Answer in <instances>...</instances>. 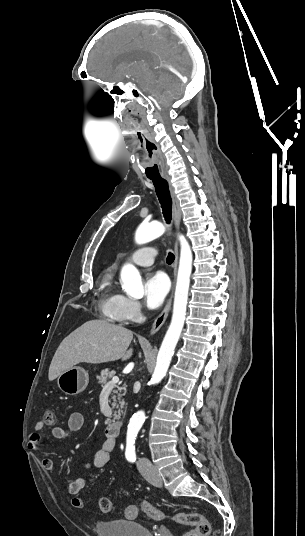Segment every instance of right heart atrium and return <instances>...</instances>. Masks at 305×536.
Masks as SVG:
<instances>
[{
  "label": "right heart atrium",
  "instance_id": "1",
  "mask_svg": "<svg viewBox=\"0 0 305 536\" xmlns=\"http://www.w3.org/2000/svg\"><path fill=\"white\" fill-rule=\"evenodd\" d=\"M119 312L124 321L134 320L140 315L141 306L137 301L123 296Z\"/></svg>",
  "mask_w": 305,
  "mask_h": 536
}]
</instances>
